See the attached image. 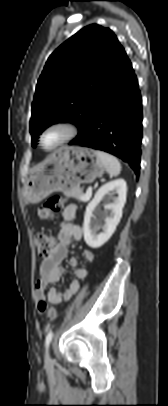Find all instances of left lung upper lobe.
I'll return each mask as SVG.
<instances>
[{
  "mask_svg": "<svg viewBox=\"0 0 168 406\" xmlns=\"http://www.w3.org/2000/svg\"><path fill=\"white\" fill-rule=\"evenodd\" d=\"M115 34L97 24L84 27L48 58L32 103L30 133L38 135L58 122L84 128L110 75L124 54Z\"/></svg>",
  "mask_w": 168,
  "mask_h": 406,
  "instance_id": "obj_1",
  "label": "left lung upper lobe"
}]
</instances>
